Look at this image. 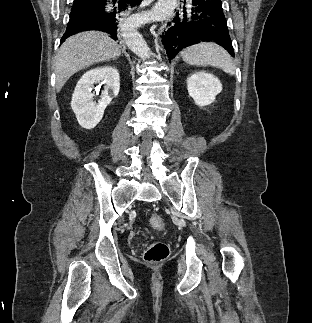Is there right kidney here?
I'll use <instances>...</instances> for the list:
<instances>
[{
  "instance_id": "ca27d5eb",
  "label": "right kidney",
  "mask_w": 312,
  "mask_h": 323,
  "mask_svg": "<svg viewBox=\"0 0 312 323\" xmlns=\"http://www.w3.org/2000/svg\"><path fill=\"white\" fill-rule=\"evenodd\" d=\"M94 84H105L101 92V100L93 102ZM120 90L118 70L113 66H99L83 74L76 84L72 96L71 108L78 124L85 130H92L103 118L104 110L113 98H117Z\"/></svg>"
}]
</instances>
